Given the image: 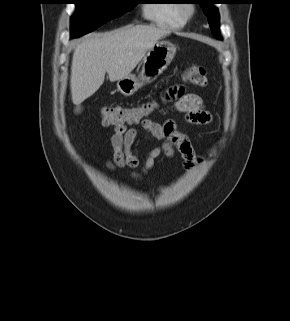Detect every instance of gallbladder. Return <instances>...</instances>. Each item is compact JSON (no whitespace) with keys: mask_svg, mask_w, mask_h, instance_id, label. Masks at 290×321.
Listing matches in <instances>:
<instances>
[{"mask_svg":"<svg viewBox=\"0 0 290 321\" xmlns=\"http://www.w3.org/2000/svg\"><path fill=\"white\" fill-rule=\"evenodd\" d=\"M81 110H82V107L80 105H77L74 109V112L78 114L81 112Z\"/></svg>","mask_w":290,"mask_h":321,"instance_id":"1","label":"gallbladder"}]
</instances>
